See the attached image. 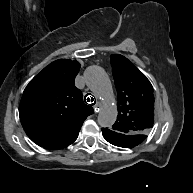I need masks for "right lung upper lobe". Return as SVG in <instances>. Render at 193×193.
Masks as SVG:
<instances>
[{"label":"right lung upper lobe","instance_id":"1","mask_svg":"<svg viewBox=\"0 0 193 193\" xmlns=\"http://www.w3.org/2000/svg\"><path fill=\"white\" fill-rule=\"evenodd\" d=\"M77 61L60 59L45 67L27 85L19 115L29 138L41 147L60 149L73 143L93 108L75 87Z\"/></svg>","mask_w":193,"mask_h":193}]
</instances>
